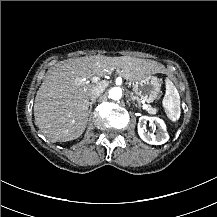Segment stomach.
I'll return each mask as SVG.
<instances>
[{
  "instance_id": "stomach-1",
  "label": "stomach",
  "mask_w": 217,
  "mask_h": 217,
  "mask_svg": "<svg viewBox=\"0 0 217 217\" xmlns=\"http://www.w3.org/2000/svg\"><path fill=\"white\" fill-rule=\"evenodd\" d=\"M162 88L161 81L157 76H148L134 84V93L141 98L154 101Z\"/></svg>"
}]
</instances>
